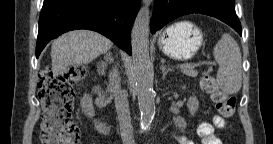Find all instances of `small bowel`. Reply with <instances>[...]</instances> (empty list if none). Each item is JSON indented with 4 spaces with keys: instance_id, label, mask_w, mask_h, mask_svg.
Masks as SVG:
<instances>
[{
    "instance_id": "c3829d8e",
    "label": "small bowel",
    "mask_w": 273,
    "mask_h": 144,
    "mask_svg": "<svg viewBox=\"0 0 273 144\" xmlns=\"http://www.w3.org/2000/svg\"><path fill=\"white\" fill-rule=\"evenodd\" d=\"M225 126L224 120L219 115H214L213 122L203 121L197 126V134L201 138L202 144H221V139L216 133V129H221ZM179 144H193L185 136L178 137Z\"/></svg>"
}]
</instances>
